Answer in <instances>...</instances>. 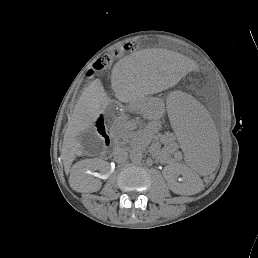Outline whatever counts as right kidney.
<instances>
[{
	"label": "right kidney",
	"instance_id": "ca27d5eb",
	"mask_svg": "<svg viewBox=\"0 0 258 258\" xmlns=\"http://www.w3.org/2000/svg\"><path fill=\"white\" fill-rule=\"evenodd\" d=\"M84 165L89 167V168H92V169H103L105 167V165H106V162L103 161V160L98 159L96 161V165H93V164H84ZM83 172L86 175L90 174L88 168L87 169H83ZM77 174H78L77 172H73V175H77ZM100 188H101V183L97 182L96 184L90 186L89 192L98 191Z\"/></svg>",
	"mask_w": 258,
	"mask_h": 258
}]
</instances>
